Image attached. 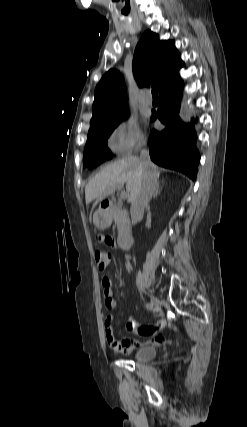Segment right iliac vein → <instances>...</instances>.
Segmentation results:
<instances>
[{
  "label": "right iliac vein",
  "instance_id": "63e3f726",
  "mask_svg": "<svg viewBox=\"0 0 247 427\" xmlns=\"http://www.w3.org/2000/svg\"><path fill=\"white\" fill-rule=\"evenodd\" d=\"M150 301H151V304H152V306L154 308H159L160 307V302H159V300L155 296H151L150 297Z\"/></svg>",
  "mask_w": 247,
  "mask_h": 427
}]
</instances>
